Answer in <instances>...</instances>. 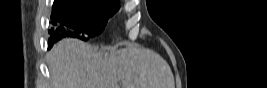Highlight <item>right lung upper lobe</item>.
<instances>
[{
	"mask_svg": "<svg viewBox=\"0 0 267 88\" xmlns=\"http://www.w3.org/2000/svg\"><path fill=\"white\" fill-rule=\"evenodd\" d=\"M112 1H116V2H118V0H112Z\"/></svg>",
	"mask_w": 267,
	"mask_h": 88,
	"instance_id": "obj_1",
	"label": "right lung upper lobe"
}]
</instances>
